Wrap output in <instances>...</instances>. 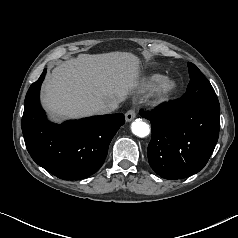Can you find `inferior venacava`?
<instances>
[{
    "instance_id": "obj_1",
    "label": "inferior vena cava",
    "mask_w": 238,
    "mask_h": 238,
    "mask_svg": "<svg viewBox=\"0 0 238 238\" xmlns=\"http://www.w3.org/2000/svg\"><path fill=\"white\" fill-rule=\"evenodd\" d=\"M118 108V103L101 104L97 107L100 114H109Z\"/></svg>"
}]
</instances>
